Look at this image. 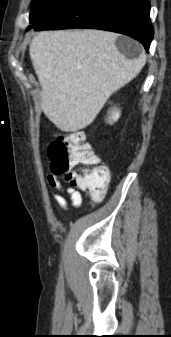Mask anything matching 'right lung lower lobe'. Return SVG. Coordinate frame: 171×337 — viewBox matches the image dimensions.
Wrapping results in <instances>:
<instances>
[{
	"mask_svg": "<svg viewBox=\"0 0 171 337\" xmlns=\"http://www.w3.org/2000/svg\"><path fill=\"white\" fill-rule=\"evenodd\" d=\"M149 0H69L35 30L94 28L140 41L148 52L153 39Z\"/></svg>",
	"mask_w": 171,
	"mask_h": 337,
	"instance_id": "right-lung-lower-lobe-1",
	"label": "right lung lower lobe"
}]
</instances>
